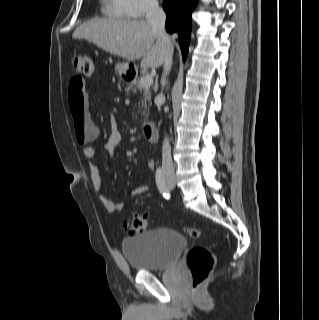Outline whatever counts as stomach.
<instances>
[{
  "label": "stomach",
  "instance_id": "stomach-1",
  "mask_svg": "<svg viewBox=\"0 0 319 320\" xmlns=\"http://www.w3.org/2000/svg\"><path fill=\"white\" fill-rule=\"evenodd\" d=\"M132 72V66L129 62H118L115 66V73L120 77L127 76Z\"/></svg>",
  "mask_w": 319,
  "mask_h": 320
}]
</instances>
